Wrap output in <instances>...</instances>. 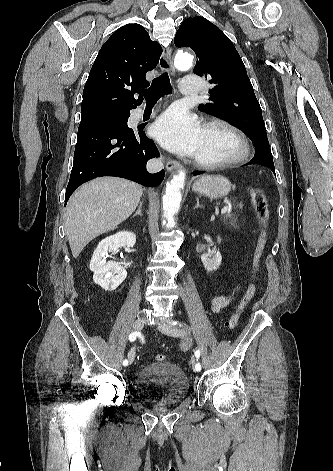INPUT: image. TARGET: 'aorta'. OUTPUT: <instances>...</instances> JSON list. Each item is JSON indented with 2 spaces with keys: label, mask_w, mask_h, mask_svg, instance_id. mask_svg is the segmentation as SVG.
Wrapping results in <instances>:
<instances>
[{
  "label": "aorta",
  "mask_w": 333,
  "mask_h": 471,
  "mask_svg": "<svg viewBox=\"0 0 333 471\" xmlns=\"http://www.w3.org/2000/svg\"><path fill=\"white\" fill-rule=\"evenodd\" d=\"M193 63V56L186 53H179L175 58V66L179 70H188ZM186 174L179 171L166 184L165 195L163 196L164 218L163 225L172 228L175 225L174 216L179 211L182 199L181 189L184 187Z\"/></svg>",
  "instance_id": "1"
}]
</instances>
